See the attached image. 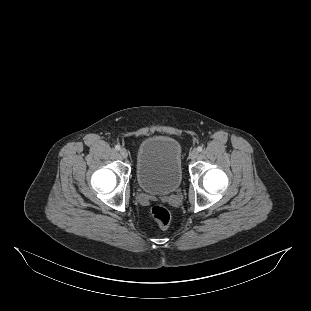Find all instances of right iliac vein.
<instances>
[{"mask_svg": "<svg viewBox=\"0 0 311 311\" xmlns=\"http://www.w3.org/2000/svg\"><path fill=\"white\" fill-rule=\"evenodd\" d=\"M120 154L123 158L128 157V151L125 148L120 149Z\"/></svg>", "mask_w": 311, "mask_h": 311, "instance_id": "right-iliac-vein-1", "label": "right iliac vein"}]
</instances>
